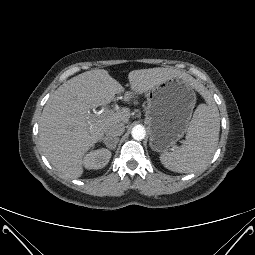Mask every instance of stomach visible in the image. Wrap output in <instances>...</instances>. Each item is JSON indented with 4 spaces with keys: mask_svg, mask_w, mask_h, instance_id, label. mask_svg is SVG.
<instances>
[{
    "mask_svg": "<svg viewBox=\"0 0 255 255\" xmlns=\"http://www.w3.org/2000/svg\"><path fill=\"white\" fill-rule=\"evenodd\" d=\"M195 101L193 87L180 77H172L148 91L145 119L153 151H167L185 134Z\"/></svg>",
    "mask_w": 255,
    "mask_h": 255,
    "instance_id": "stomach-1",
    "label": "stomach"
}]
</instances>
